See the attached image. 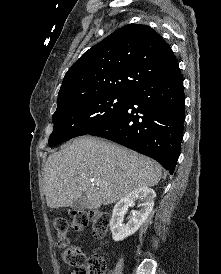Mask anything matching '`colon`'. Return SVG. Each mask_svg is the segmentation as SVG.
I'll return each instance as SVG.
<instances>
[{
    "mask_svg": "<svg viewBox=\"0 0 221 274\" xmlns=\"http://www.w3.org/2000/svg\"><path fill=\"white\" fill-rule=\"evenodd\" d=\"M109 215L104 211H75L71 216V225L76 230H83L91 226L92 234L102 238L109 227ZM54 228L58 235V245L62 248V258L66 265L72 267L73 274H105L106 265L99 256H91L86 259L82 249L77 245H71L67 238L69 222L64 217L54 220Z\"/></svg>",
    "mask_w": 221,
    "mask_h": 274,
    "instance_id": "colon-1",
    "label": "colon"
}]
</instances>
